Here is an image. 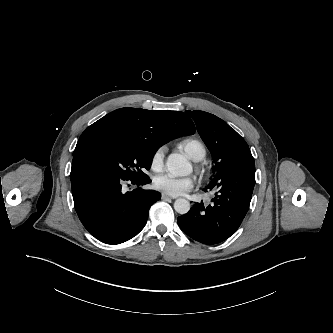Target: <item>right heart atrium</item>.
I'll use <instances>...</instances> for the list:
<instances>
[{"label": "right heart atrium", "instance_id": "d8ad5b80", "mask_svg": "<svg viewBox=\"0 0 333 333\" xmlns=\"http://www.w3.org/2000/svg\"><path fill=\"white\" fill-rule=\"evenodd\" d=\"M165 147H159L152 155L150 166L154 171L162 170L164 166Z\"/></svg>", "mask_w": 333, "mask_h": 333}]
</instances>
